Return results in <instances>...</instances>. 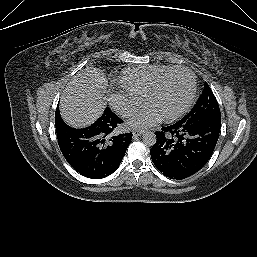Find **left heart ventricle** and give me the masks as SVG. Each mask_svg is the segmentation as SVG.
I'll return each instance as SVG.
<instances>
[{
  "label": "left heart ventricle",
  "mask_w": 257,
  "mask_h": 257,
  "mask_svg": "<svg viewBox=\"0 0 257 257\" xmlns=\"http://www.w3.org/2000/svg\"><path fill=\"white\" fill-rule=\"evenodd\" d=\"M190 86L191 79L186 72L173 73L164 80L147 105L155 109L161 116L168 115L185 102Z\"/></svg>",
  "instance_id": "left-heart-ventricle-1"
}]
</instances>
